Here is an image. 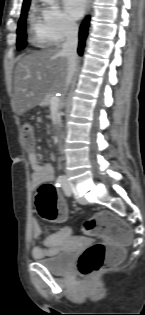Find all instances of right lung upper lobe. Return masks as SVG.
<instances>
[{"label":"right lung upper lobe","mask_w":145,"mask_h":315,"mask_svg":"<svg viewBox=\"0 0 145 315\" xmlns=\"http://www.w3.org/2000/svg\"><path fill=\"white\" fill-rule=\"evenodd\" d=\"M29 5H30V0H24L23 7L29 6Z\"/></svg>","instance_id":"cb5924a9"}]
</instances>
